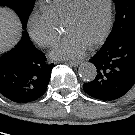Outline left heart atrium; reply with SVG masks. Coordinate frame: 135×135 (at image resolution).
Returning <instances> with one entry per match:
<instances>
[{
    "mask_svg": "<svg viewBox=\"0 0 135 135\" xmlns=\"http://www.w3.org/2000/svg\"><path fill=\"white\" fill-rule=\"evenodd\" d=\"M87 47L88 45L84 41L69 34L55 45L51 57L61 60L79 58L85 54Z\"/></svg>",
    "mask_w": 135,
    "mask_h": 135,
    "instance_id": "39dd6f15",
    "label": "left heart atrium"
}]
</instances>
